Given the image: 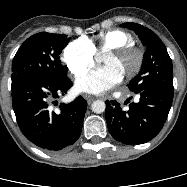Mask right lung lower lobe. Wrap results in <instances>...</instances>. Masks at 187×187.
<instances>
[{"label":"right lung lower lobe","mask_w":187,"mask_h":187,"mask_svg":"<svg viewBox=\"0 0 187 187\" xmlns=\"http://www.w3.org/2000/svg\"><path fill=\"white\" fill-rule=\"evenodd\" d=\"M72 87L68 78L21 79L12 84V105L20 130L38 147L59 151L74 144L82 130L87 102L77 97L69 104L61 103L59 110L49 108L52 99L59 98Z\"/></svg>","instance_id":"right-lung-lower-lobe-1"}]
</instances>
